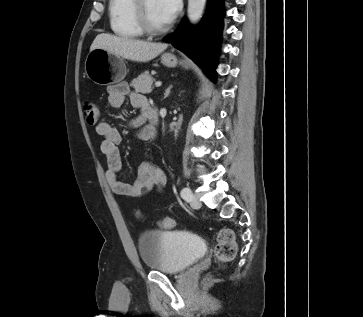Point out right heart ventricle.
Masks as SVG:
<instances>
[{"mask_svg": "<svg viewBox=\"0 0 363 317\" xmlns=\"http://www.w3.org/2000/svg\"><path fill=\"white\" fill-rule=\"evenodd\" d=\"M134 0H109L110 28L116 35L137 38L143 35L133 15Z\"/></svg>", "mask_w": 363, "mask_h": 317, "instance_id": "obj_1", "label": "right heart ventricle"}]
</instances>
